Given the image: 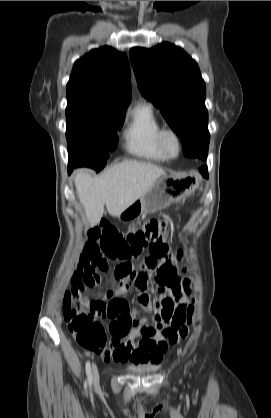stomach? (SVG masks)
Segmentation results:
<instances>
[{"mask_svg": "<svg viewBox=\"0 0 271 418\" xmlns=\"http://www.w3.org/2000/svg\"><path fill=\"white\" fill-rule=\"evenodd\" d=\"M200 183L201 175L196 171L160 176L141 198L118 215V219L123 222L132 221L143 214L165 209L192 195Z\"/></svg>", "mask_w": 271, "mask_h": 418, "instance_id": "stomach-1", "label": "stomach"}]
</instances>
